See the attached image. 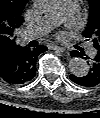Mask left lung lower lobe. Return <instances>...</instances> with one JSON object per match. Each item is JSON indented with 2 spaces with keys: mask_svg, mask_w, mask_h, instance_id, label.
Returning <instances> with one entry per match:
<instances>
[{
  "mask_svg": "<svg viewBox=\"0 0 100 118\" xmlns=\"http://www.w3.org/2000/svg\"><path fill=\"white\" fill-rule=\"evenodd\" d=\"M72 56H82L79 52H72ZM90 71L87 75L77 77L73 74L70 75V79L78 85L85 87H93L100 84V51L97 52L96 56L91 61Z\"/></svg>",
  "mask_w": 100,
  "mask_h": 118,
  "instance_id": "0a47b994",
  "label": "left lung lower lobe"
}]
</instances>
